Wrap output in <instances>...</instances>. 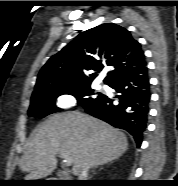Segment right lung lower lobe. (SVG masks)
<instances>
[{
	"mask_svg": "<svg viewBox=\"0 0 178 186\" xmlns=\"http://www.w3.org/2000/svg\"><path fill=\"white\" fill-rule=\"evenodd\" d=\"M108 85L119 93L115 96L117 102L102 94L84 106L85 111L116 128L128 131L140 147L147 126L151 96L146 61L121 72Z\"/></svg>",
	"mask_w": 178,
	"mask_h": 186,
	"instance_id": "obj_1",
	"label": "right lung lower lobe"
}]
</instances>
